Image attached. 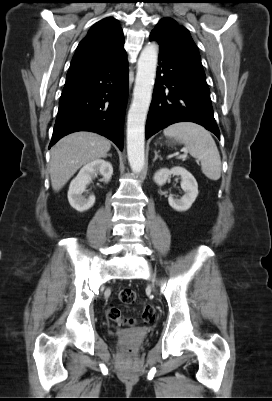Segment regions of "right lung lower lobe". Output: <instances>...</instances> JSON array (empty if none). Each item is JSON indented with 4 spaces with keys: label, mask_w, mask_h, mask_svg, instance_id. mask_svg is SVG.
Returning <instances> with one entry per match:
<instances>
[{
    "label": "right lung lower lobe",
    "mask_w": 272,
    "mask_h": 401,
    "mask_svg": "<svg viewBox=\"0 0 272 401\" xmlns=\"http://www.w3.org/2000/svg\"><path fill=\"white\" fill-rule=\"evenodd\" d=\"M127 95L125 51L85 75L66 80L49 148L72 132L92 131L122 150Z\"/></svg>",
    "instance_id": "98d812e1"
}]
</instances>
